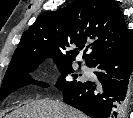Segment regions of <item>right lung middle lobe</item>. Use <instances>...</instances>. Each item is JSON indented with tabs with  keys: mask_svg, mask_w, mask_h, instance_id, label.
Instances as JSON below:
<instances>
[{
	"mask_svg": "<svg viewBox=\"0 0 133 118\" xmlns=\"http://www.w3.org/2000/svg\"><path fill=\"white\" fill-rule=\"evenodd\" d=\"M54 60L61 72L56 83V87L59 90L63 91L83 83V81L75 80L78 77L76 74H72L74 80H68V76L74 72L71 67V62L58 59ZM42 62L43 60H39L26 65L7 69L1 85V100H4L10 93L28 84H37L44 88L47 87V83L43 81H35L29 74L35 71Z\"/></svg>",
	"mask_w": 133,
	"mask_h": 118,
	"instance_id": "right-lung-middle-lobe-1",
	"label": "right lung middle lobe"
}]
</instances>
